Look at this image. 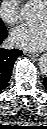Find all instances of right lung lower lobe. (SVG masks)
I'll return each instance as SVG.
<instances>
[{
    "mask_svg": "<svg viewBox=\"0 0 47 129\" xmlns=\"http://www.w3.org/2000/svg\"><path fill=\"white\" fill-rule=\"evenodd\" d=\"M8 36L6 28L0 29V44ZM22 55V51L18 49H1L0 48V91L7 85L13 65L17 57Z\"/></svg>",
    "mask_w": 47,
    "mask_h": 129,
    "instance_id": "98d812e1",
    "label": "right lung lower lobe"
}]
</instances>
